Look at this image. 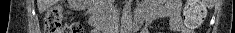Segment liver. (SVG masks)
<instances>
[{
  "mask_svg": "<svg viewBox=\"0 0 235 33\" xmlns=\"http://www.w3.org/2000/svg\"><path fill=\"white\" fill-rule=\"evenodd\" d=\"M55 4V0H37V7L40 13H43Z\"/></svg>",
  "mask_w": 235,
  "mask_h": 33,
  "instance_id": "1",
  "label": "liver"
}]
</instances>
